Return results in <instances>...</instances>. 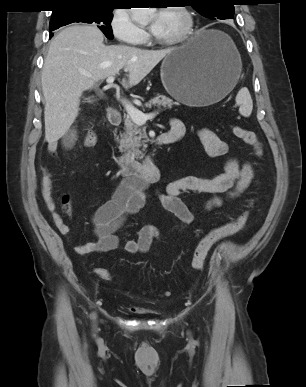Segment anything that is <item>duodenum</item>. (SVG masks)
Instances as JSON below:
<instances>
[{"instance_id": "1", "label": "duodenum", "mask_w": 306, "mask_h": 387, "mask_svg": "<svg viewBox=\"0 0 306 387\" xmlns=\"http://www.w3.org/2000/svg\"><path fill=\"white\" fill-rule=\"evenodd\" d=\"M108 120L111 125L118 126L122 117L120 112L115 108H110L108 111ZM179 134L169 132L160 134L156 139L158 146L167 145L179 140ZM118 169L122 175L129 180L137 182H155L160 178V169L154 161L152 155L148 156L144 161H138L129 156L119 157L116 161Z\"/></svg>"}]
</instances>
